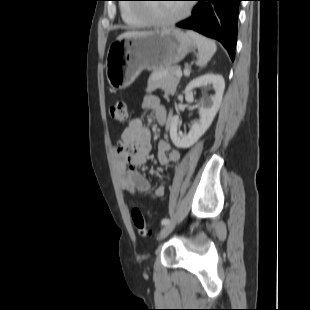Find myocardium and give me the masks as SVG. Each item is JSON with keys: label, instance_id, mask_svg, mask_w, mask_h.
I'll return each instance as SVG.
<instances>
[{"label": "myocardium", "instance_id": "myocardium-1", "mask_svg": "<svg viewBox=\"0 0 310 310\" xmlns=\"http://www.w3.org/2000/svg\"><path fill=\"white\" fill-rule=\"evenodd\" d=\"M190 11H191V4H188L184 7L183 11L176 17L172 19H159L152 16L150 13L144 16L143 10L138 8L135 9V12L138 16L146 18L148 25L154 27H166L174 25L179 21L183 20L184 18H186L190 14Z\"/></svg>", "mask_w": 310, "mask_h": 310}]
</instances>
